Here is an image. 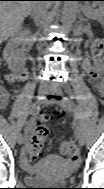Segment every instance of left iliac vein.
<instances>
[{"label":"left iliac vein","instance_id":"left-iliac-vein-1","mask_svg":"<svg viewBox=\"0 0 104 189\" xmlns=\"http://www.w3.org/2000/svg\"><path fill=\"white\" fill-rule=\"evenodd\" d=\"M51 94H55V93L53 91H51ZM50 103L59 106L62 110H64L67 113L71 114L70 107L65 102L54 100V101H51ZM75 139H76L77 143L79 144V146H83L84 145L85 140H84V137H83V135H82L80 130L76 131Z\"/></svg>","mask_w":104,"mask_h":189}]
</instances>
